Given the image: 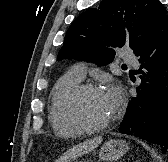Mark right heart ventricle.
<instances>
[{"mask_svg":"<svg viewBox=\"0 0 168 162\" xmlns=\"http://www.w3.org/2000/svg\"><path fill=\"white\" fill-rule=\"evenodd\" d=\"M81 79L72 70L62 75L55 83L49 106V121L54 132L61 137H73L81 130L70 124L61 113V103L66 93L78 85Z\"/></svg>","mask_w":168,"mask_h":162,"instance_id":"e07e8e85","label":"right heart ventricle"}]
</instances>
